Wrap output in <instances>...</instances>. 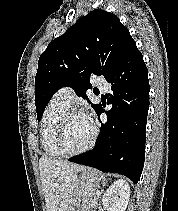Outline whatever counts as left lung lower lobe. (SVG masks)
Here are the masks:
<instances>
[{
    "instance_id": "obj_1",
    "label": "left lung lower lobe",
    "mask_w": 178,
    "mask_h": 211,
    "mask_svg": "<svg viewBox=\"0 0 178 211\" xmlns=\"http://www.w3.org/2000/svg\"><path fill=\"white\" fill-rule=\"evenodd\" d=\"M111 84L107 122L94 149L74 156L70 162L125 175L134 183L140 179L145 159L146 123L149 109V80L143 56L135 46L106 78ZM104 112L100 105L98 117Z\"/></svg>"
}]
</instances>
